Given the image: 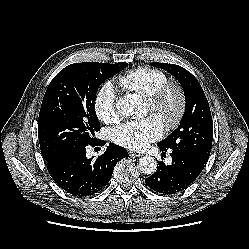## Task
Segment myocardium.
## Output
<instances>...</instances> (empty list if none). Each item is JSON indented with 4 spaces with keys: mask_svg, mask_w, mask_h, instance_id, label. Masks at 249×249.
Masks as SVG:
<instances>
[{
    "mask_svg": "<svg viewBox=\"0 0 249 249\" xmlns=\"http://www.w3.org/2000/svg\"><path fill=\"white\" fill-rule=\"evenodd\" d=\"M153 113L164 117L167 129L176 128L186 109V95L183 88L175 82H167L146 96Z\"/></svg>",
    "mask_w": 249,
    "mask_h": 249,
    "instance_id": "myocardium-1",
    "label": "myocardium"
}]
</instances>
